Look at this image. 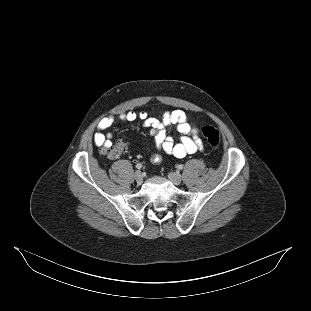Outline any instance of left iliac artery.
Instances as JSON below:
<instances>
[{"instance_id": "obj_1", "label": "left iliac artery", "mask_w": 311, "mask_h": 311, "mask_svg": "<svg viewBox=\"0 0 311 311\" xmlns=\"http://www.w3.org/2000/svg\"><path fill=\"white\" fill-rule=\"evenodd\" d=\"M177 169L178 170H182L183 169V165L182 164L177 165Z\"/></svg>"}]
</instances>
